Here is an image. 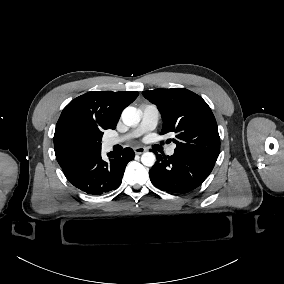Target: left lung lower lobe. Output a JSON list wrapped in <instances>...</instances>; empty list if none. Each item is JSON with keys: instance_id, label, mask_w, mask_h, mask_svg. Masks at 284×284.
<instances>
[{"instance_id": "1", "label": "left lung lower lobe", "mask_w": 284, "mask_h": 284, "mask_svg": "<svg viewBox=\"0 0 284 284\" xmlns=\"http://www.w3.org/2000/svg\"><path fill=\"white\" fill-rule=\"evenodd\" d=\"M149 170L153 185L167 193L184 194L197 188L211 173L215 162L205 157L175 151L172 156L157 153Z\"/></svg>"}]
</instances>
